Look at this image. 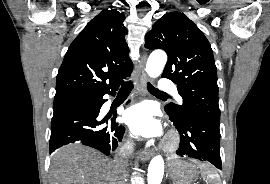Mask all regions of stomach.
Returning a JSON list of instances; mask_svg holds the SVG:
<instances>
[{"instance_id":"0dacf381","label":"stomach","mask_w":270,"mask_h":184,"mask_svg":"<svg viewBox=\"0 0 270 184\" xmlns=\"http://www.w3.org/2000/svg\"><path fill=\"white\" fill-rule=\"evenodd\" d=\"M196 167L186 161L172 160L169 163V177L176 184H192L198 179Z\"/></svg>"}]
</instances>
